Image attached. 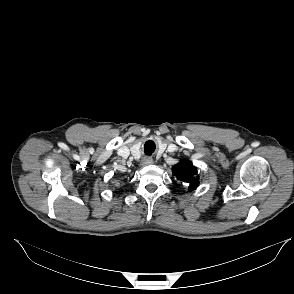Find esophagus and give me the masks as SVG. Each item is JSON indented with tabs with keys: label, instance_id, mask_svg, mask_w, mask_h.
I'll list each match as a JSON object with an SVG mask.
<instances>
[{
	"label": "esophagus",
	"instance_id": "1",
	"mask_svg": "<svg viewBox=\"0 0 294 294\" xmlns=\"http://www.w3.org/2000/svg\"><path fill=\"white\" fill-rule=\"evenodd\" d=\"M153 163V159L150 157H145L143 159V165H151Z\"/></svg>",
	"mask_w": 294,
	"mask_h": 294
}]
</instances>
